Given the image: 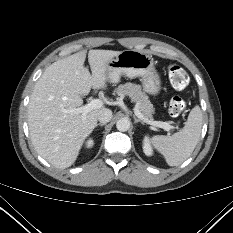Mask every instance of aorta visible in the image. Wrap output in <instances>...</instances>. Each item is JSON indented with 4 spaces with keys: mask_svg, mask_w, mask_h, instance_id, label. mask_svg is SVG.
I'll use <instances>...</instances> for the list:
<instances>
[{
    "mask_svg": "<svg viewBox=\"0 0 233 233\" xmlns=\"http://www.w3.org/2000/svg\"><path fill=\"white\" fill-rule=\"evenodd\" d=\"M116 128L119 131L125 132L130 128V121L127 118H121L117 121Z\"/></svg>",
    "mask_w": 233,
    "mask_h": 233,
    "instance_id": "aorta-1",
    "label": "aorta"
}]
</instances>
